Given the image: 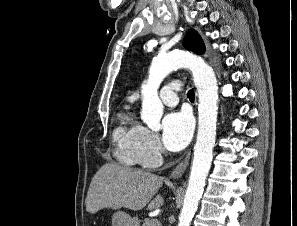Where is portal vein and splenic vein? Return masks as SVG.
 <instances>
[{
  "label": "portal vein and splenic vein",
  "mask_w": 297,
  "mask_h": 226,
  "mask_svg": "<svg viewBox=\"0 0 297 226\" xmlns=\"http://www.w3.org/2000/svg\"><path fill=\"white\" fill-rule=\"evenodd\" d=\"M154 222H158V220L157 219H154Z\"/></svg>",
  "instance_id": "portal-vein-and-splenic-vein-1"
}]
</instances>
